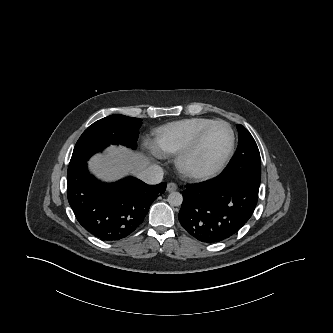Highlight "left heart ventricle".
<instances>
[{"label": "left heart ventricle", "instance_id": "1", "mask_svg": "<svg viewBox=\"0 0 333 333\" xmlns=\"http://www.w3.org/2000/svg\"><path fill=\"white\" fill-rule=\"evenodd\" d=\"M230 145V133L221 124L213 126L200 148L190 160L193 168L206 171L214 168L225 156Z\"/></svg>", "mask_w": 333, "mask_h": 333}]
</instances>
